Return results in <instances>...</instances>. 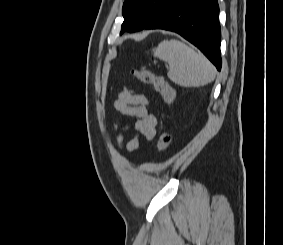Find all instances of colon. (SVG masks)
I'll return each instance as SVG.
<instances>
[{
	"mask_svg": "<svg viewBox=\"0 0 283 245\" xmlns=\"http://www.w3.org/2000/svg\"><path fill=\"white\" fill-rule=\"evenodd\" d=\"M131 74L144 84L151 85L159 92L163 97V102L166 106L173 103L175 98L174 90L165 82V80L154 74L153 72L143 68H133ZM171 142V136L169 133L163 131L160 133L157 141V148L160 153H164Z\"/></svg>",
	"mask_w": 283,
	"mask_h": 245,
	"instance_id": "1",
	"label": "colon"
}]
</instances>
